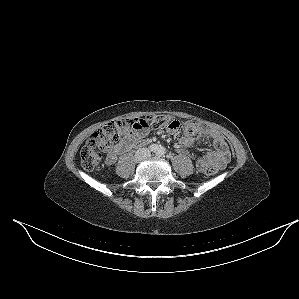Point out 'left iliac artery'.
Here are the masks:
<instances>
[{
  "mask_svg": "<svg viewBox=\"0 0 299 299\" xmlns=\"http://www.w3.org/2000/svg\"><path fill=\"white\" fill-rule=\"evenodd\" d=\"M165 154L164 148L160 147L159 150L157 151L156 155L157 156H163Z\"/></svg>",
  "mask_w": 299,
  "mask_h": 299,
  "instance_id": "1",
  "label": "left iliac artery"
}]
</instances>
